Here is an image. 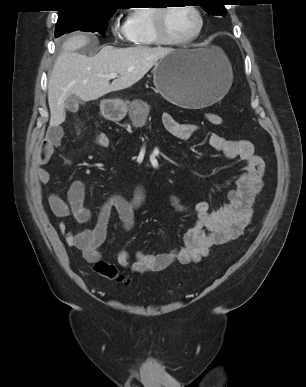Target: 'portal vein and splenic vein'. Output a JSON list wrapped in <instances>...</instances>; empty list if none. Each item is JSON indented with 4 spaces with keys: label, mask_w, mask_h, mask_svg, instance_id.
Here are the masks:
<instances>
[{
    "label": "portal vein and splenic vein",
    "mask_w": 306,
    "mask_h": 387,
    "mask_svg": "<svg viewBox=\"0 0 306 387\" xmlns=\"http://www.w3.org/2000/svg\"><path fill=\"white\" fill-rule=\"evenodd\" d=\"M117 77H118V75H117L116 73H111V74H109V75L107 76L108 79H115V78H117Z\"/></svg>",
    "instance_id": "obj_1"
}]
</instances>
